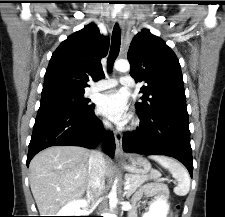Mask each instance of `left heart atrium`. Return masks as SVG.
<instances>
[{
    "label": "left heart atrium",
    "instance_id": "obj_1",
    "mask_svg": "<svg viewBox=\"0 0 225 217\" xmlns=\"http://www.w3.org/2000/svg\"><path fill=\"white\" fill-rule=\"evenodd\" d=\"M98 110L110 120L122 123L128 117L127 96L120 91H110L99 99Z\"/></svg>",
    "mask_w": 225,
    "mask_h": 217
}]
</instances>
